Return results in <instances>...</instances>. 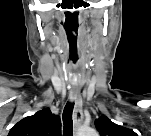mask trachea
<instances>
[{
    "label": "trachea",
    "mask_w": 151,
    "mask_h": 136,
    "mask_svg": "<svg viewBox=\"0 0 151 136\" xmlns=\"http://www.w3.org/2000/svg\"><path fill=\"white\" fill-rule=\"evenodd\" d=\"M74 103H67L63 111V131L65 136H71L73 129L72 112Z\"/></svg>",
    "instance_id": "obj_1"
}]
</instances>
